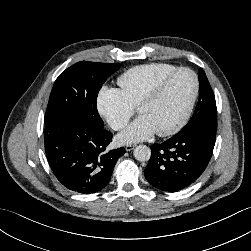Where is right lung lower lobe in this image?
<instances>
[{"mask_svg": "<svg viewBox=\"0 0 251 251\" xmlns=\"http://www.w3.org/2000/svg\"><path fill=\"white\" fill-rule=\"evenodd\" d=\"M112 133L80 118H64L45 126L44 143L49 165L67 189L92 194L110 181L124 148L107 150Z\"/></svg>", "mask_w": 251, "mask_h": 251, "instance_id": "obj_1", "label": "right lung lower lobe"}]
</instances>
